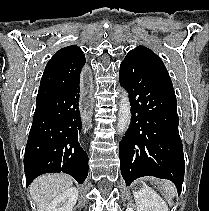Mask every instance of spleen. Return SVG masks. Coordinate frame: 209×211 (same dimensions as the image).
I'll use <instances>...</instances> for the list:
<instances>
[{"label":"spleen","instance_id":"obj_1","mask_svg":"<svg viewBox=\"0 0 209 211\" xmlns=\"http://www.w3.org/2000/svg\"><path fill=\"white\" fill-rule=\"evenodd\" d=\"M163 190H164L165 196H167L169 198L174 197L176 194L175 185L170 181H165L163 183Z\"/></svg>","mask_w":209,"mask_h":211}]
</instances>
